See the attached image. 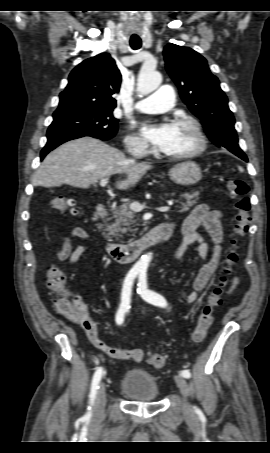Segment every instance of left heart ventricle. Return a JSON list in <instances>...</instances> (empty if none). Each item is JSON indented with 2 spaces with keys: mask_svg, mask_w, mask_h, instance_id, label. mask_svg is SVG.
Here are the masks:
<instances>
[{
  "mask_svg": "<svg viewBox=\"0 0 270 453\" xmlns=\"http://www.w3.org/2000/svg\"><path fill=\"white\" fill-rule=\"evenodd\" d=\"M197 140L194 132L187 125L174 124V133L168 145L162 149L167 154H179L194 149Z\"/></svg>",
  "mask_w": 270,
  "mask_h": 453,
  "instance_id": "b2bd125f",
  "label": "left heart ventricle"
}]
</instances>
